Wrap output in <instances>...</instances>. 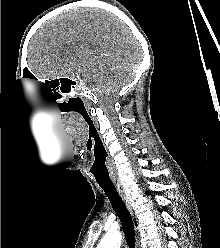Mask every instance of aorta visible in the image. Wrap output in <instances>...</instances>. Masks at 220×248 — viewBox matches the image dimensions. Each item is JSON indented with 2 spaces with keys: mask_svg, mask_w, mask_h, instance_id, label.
I'll use <instances>...</instances> for the list:
<instances>
[{
  "mask_svg": "<svg viewBox=\"0 0 220 248\" xmlns=\"http://www.w3.org/2000/svg\"><path fill=\"white\" fill-rule=\"evenodd\" d=\"M122 235L120 232H108L100 241L97 248H120Z\"/></svg>",
  "mask_w": 220,
  "mask_h": 248,
  "instance_id": "obj_1",
  "label": "aorta"
}]
</instances>
